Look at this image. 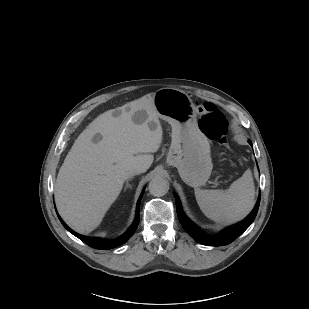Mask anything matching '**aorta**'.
<instances>
[{
    "label": "aorta",
    "instance_id": "aorta-1",
    "mask_svg": "<svg viewBox=\"0 0 309 309\" xmlns=\"http://www.w3.org/2000/svg\"><path fill=\"white\" fill-rule=\"evenodd\" d=\"M169 190V183L166 179L160 176H155L149 183V192L153 196L161 197Z\"/></svg>",
    "mask_w": 309,
    "mask_h": 309
}]
</instances>
